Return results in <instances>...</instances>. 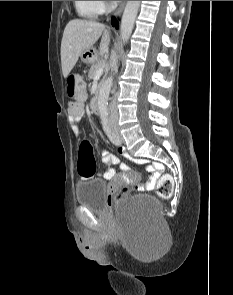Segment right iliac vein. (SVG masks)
I'll list each match as a JSON object with an SVG mask.
<instances>
[{
    "instance_id": "1",
    "label": "right iliac vein",
    "mask_w": 233,
    "mask_h": 295,
    "mask_svg": "<svg viewBox=\"0 0 233 295\" xmlns=\"http://www.w3.org/2000/svg\"><path fill=\"white\" fill-rule=\"evenodd\" d=\"M116 131H117V129L115 128V129H114L115 134H116Z\"/></svg>"
}]
</instances>
